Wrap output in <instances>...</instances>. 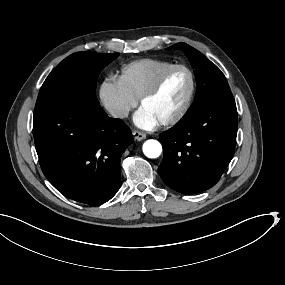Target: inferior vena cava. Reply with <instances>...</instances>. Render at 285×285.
Returning <instances> with one entry per match:
<instances>
[{
  "label": "inferior vena cava",
  "mask_w": 285,
  "mask_h": 285,
  "mask_svg": "<svg viewBox=\"0 0 285 285\" xmlns=\"http://www.w3.org/2000/svg\"><path fill=\"white\" fill-rule=\"evenodd\" d=\"M130 108L125 105L111 106L107 109L109 114L114 118H125L128 116Z\"/></svg>",
  "instance_id": "1"
}]
</instances>
